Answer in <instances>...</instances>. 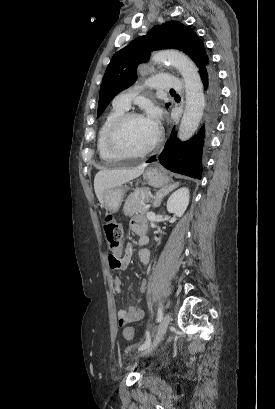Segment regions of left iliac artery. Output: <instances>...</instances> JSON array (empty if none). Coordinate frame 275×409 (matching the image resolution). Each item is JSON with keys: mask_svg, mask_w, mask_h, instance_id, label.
<instances>
[{"mask_svg": "<svg viewBox=\"0 0 275 409\" xmlns=\"http://www.w3.org/2000/svg\"><path fill=\"white\" fill-rule=\"evenodd\" d=\"M162 318H163V307H162V304L160 302L159 307H158V315H157L156 321L160 322L162 320ZM150 343H151V337H150L149 332L147 331L146 332V340L142 345L139 346L138 350H140V351L145 350L146 348H148L150 346Z\"/></svg>", "mask_w": 275, "mask_h": 409, "instance_id": "left-iliac-artery-1", "label": "left iliac artery"}]
</instances>
